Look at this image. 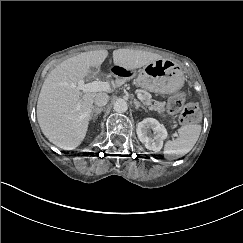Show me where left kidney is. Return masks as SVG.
<instances>
[{"instance_id":"1","label":"left kidney","mask_w":243,"mask_h":243,"mask_svg":"<svg viewBox=\"0 0 243 243\" xmlns=\"http://www.w3.org/2000/svg\"><path fill=\"white\" fill-rule=\"evenodd\" d=\"M153 131V135H149V131ZM139 140L149 150L160 151L165 138L167 137V131L164 126L153 118H147L140 121L137 124L136 129Z\"/></svg>"}]
</instances>
